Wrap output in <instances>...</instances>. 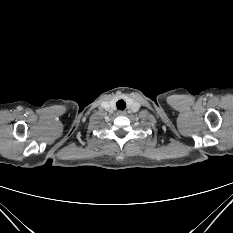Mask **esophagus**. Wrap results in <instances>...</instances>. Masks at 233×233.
Here are the masks:
<instances>
[{
	"label": "esophagus",
	"instance_id": "obj_1",
	"mask_svg": "<svg viewBox=\"0 0 233 233\" xmlns=\"http://www.w3.org/2000/svg\"><path fill=\"white\" fill-rule=\"evenodd\" d=\"M118 115H121V116L126 115V112L125 111H118Z\"/></svg>",
	"mask_w": 233,
	"mask_h": 233
}]
</instances>
